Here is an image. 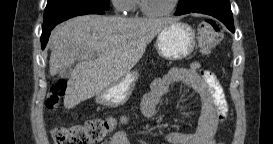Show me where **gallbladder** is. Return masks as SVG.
<instances>
[{
  "mask_svg": "<svg viewBox=\"0 0 273 144\" xmlns=\"http://www.w3.org/2000/svg\"><path fill=\"white\" fill-rule=\"evenodd\" d=\"M72 65H67L66 68H64L63 71H61L60 80H69V76L71 75V72L73 71Z\"/></svg>",
  "mask_w": 273,
  "mask_h": 144,
  "instance_id": "bac80fb5",
  "label": "gallbladder"
}]
</instances>
